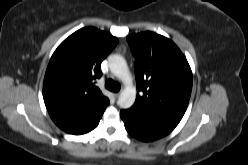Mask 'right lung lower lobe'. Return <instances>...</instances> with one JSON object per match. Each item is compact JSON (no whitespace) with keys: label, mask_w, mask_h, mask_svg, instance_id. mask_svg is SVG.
Segmentation results:
<instances>
[{"label":"right lung lower lobe","mask_w":248,"mask_h":165,"mask_svg":"<svg viewBox=\"0 0 248 165\" xmlns=\"http://www.w3.org/2000/svg\"><path fill=\"white\" fill-rule=\"evenodd\" d=\"M98 123H99V121H97L92 127H90L89 129H87V130H85V131H83L82 133H80V134H85V133H87V132H89V131H91V130H93L94 128H96L97 127V125H98Z\"/></svg>","instance_id":"1"}]
</instances>
